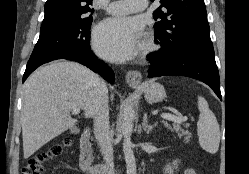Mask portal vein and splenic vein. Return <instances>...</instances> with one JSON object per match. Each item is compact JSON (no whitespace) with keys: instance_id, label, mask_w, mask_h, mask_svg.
Wrapping results in <instances>:
<instances>
[{"instance_id":"18ae733b","label":"portal vein and splenic vein","mask_w":249,"mask_h":174,"mask_svg":"<svg viewBox=\"0 0 249 174\" xmlns=\"http://www.w3.org/2000/svg\"><path fill=\"white\" fill-rule=\"evenodd\" d=\"M72 111H73V114H78V113H80V108L73 106ZM161 117L163 119L172 121V122L177 123V124H181L182 122L187 120V117H178V116L172 115L170 113H163V114H161Z\"/></svg>"}]
</instances>
